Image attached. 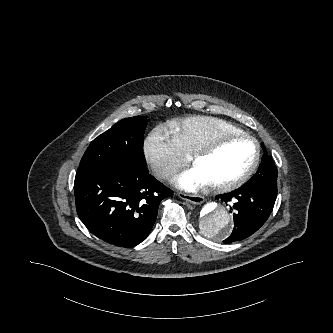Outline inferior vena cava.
Masks as SVG:
<instances>
[{
  "label": "inferior vena cava",
  "instance_id": "1",
  "mask_svg": "<svg viewBox=\"0 0 333 333\" xmlns=\"http://www.w3.org/2000/svg\"><path fill=\"white\" fill-rule=\"evenodd\" d=\"M172 171L167 169V168H163L161 170L158 171V176L162 177V178H168L172 175Z\"/></svg>",
  "mask_w": 333,
  "mask_h": 333
}]
</instances>
